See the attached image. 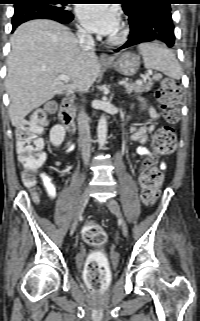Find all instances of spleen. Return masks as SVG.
<instances>
[{
  "label": "spleen",
  "instance_id": "1",
  "mask_svg": "<svg viewBox=\"0 0 200 321\" xmlns=\"http://www.w3.org/2000/svg\"><path fill=\"white\" fill-rule=\"evenodd\" d=\"M138 49L143 57L145 68L158 70L173 79L181 78V66L175 54L166 46L159 43H141ZM160 77L161 75L155 76V79Z\"/></svg>",
  "mask_w": 200,
  "mask_h": 321
}]
</instances>
